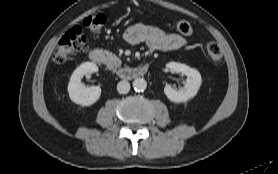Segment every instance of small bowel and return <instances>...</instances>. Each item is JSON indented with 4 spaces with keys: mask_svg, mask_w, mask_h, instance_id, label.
I'll use <instances>...</instances> for the list:
<instances>
[{
    "mask_svg": "<svg viewBox=\"0 0 278 174\" xmlns=\"http://www.w3.org/2000/svg\"><path fill=\"white\" fill-rule=\"evenodd\" d=\"M124 40L132 45L145 44L151 51H172L187 45V39L176 33H167L160 28L137 24L124 33Z\"/></svg>",
    "mask_w": 278,
    "mask_h": 174,
    "instance_id": "obj_1",
    "label": "small bowel"
}]
</instances>
